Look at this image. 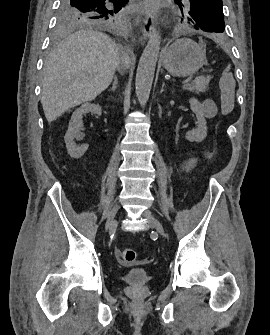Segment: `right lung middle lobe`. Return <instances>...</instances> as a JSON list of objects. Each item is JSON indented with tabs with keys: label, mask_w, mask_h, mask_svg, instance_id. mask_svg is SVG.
I'll list each match as a JSON object with an SVG mask.
<instances>
[{
	"label": "right lung middle lobe",
	"mask_w": 270,
	"mask_h": 335,
	"mask_svg": "<svg viewBox=\"0 0 270 335\" xmlns=\"http://www.w3.org/2000/svg\"><path fill=\"white\" fill-rule=\"evenodd\" d=\"M105 1L61 0L57 12V32L63 33L82 27L116 25L121 19L120 14L117 13L124 5L114 2L106 5Z\"/></svg>",
	"instance_id": "obj_1"
}]
</instances>
